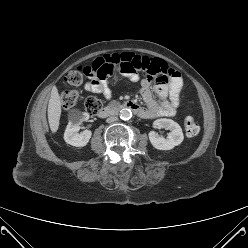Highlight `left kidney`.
Returning a JSON list of instances; mask_svg holds the SVG:
<instances>
[{
  "label": "left kidney",
  "instance_id": "left-kidney-1",
  "mask_svg": "<svg viewBox=\"0 0 248 248\" xmlns=\"http://www.w3.org/2000/svg\"><path fill=\"white\" fill-rule=\"evenodd\" d=\"M153 124L157 128H164L171 131L166 138L161 137L154 131L149 133V140L156 149L171 150L182 143L184 135L178 123L171 119L161 118L155 120Z\"/></svg>",
  "mask_w": 248,
  "mask_h": 248
}]
</instances>
